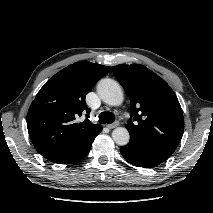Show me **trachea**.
Wrapping results in <instances>:
<instances>
[{
	"mask_svg": "<svg viewBox=\"0 0 213 213\" xmlns=\"http://www.w3.org/2000/svg\"><path fill=\"white\" fill-rule=\"evenodd\" d=\"M114 121H115V116L111 112L104 111L99 114V122L101 124H106V123L111 124Z\"/></svg>",
	"mask_w": 213,
	"mask_h": 213,
	"instance_id": "1",
	"label": "trachea"
}]
</instances>
